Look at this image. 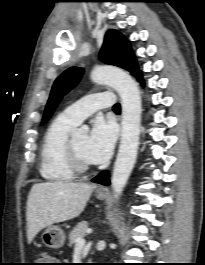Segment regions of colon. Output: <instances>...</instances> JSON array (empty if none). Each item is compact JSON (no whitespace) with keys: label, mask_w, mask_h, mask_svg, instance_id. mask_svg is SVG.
Masks as SVG:
<instances>
[{"label":"colon","mask_w":205,"mask_h":265,"mask_svg":"<svg viewBox=\"0 0 205 265\" xmlns=\"http://www.w3.org/2000/svg\"><path fill=\"white\" fill-rule=\"evenodd\" d=\"M38 260L42 262V263H39L40 265H51L53 263H49V262H52L54 258L47 253H41L38 257Z\"/></svg>","instance_id":"colon-1"}]
</instances>
